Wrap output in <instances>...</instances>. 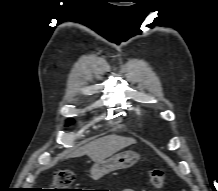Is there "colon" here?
<instances>
[{"instance_id": "obj_1", "label": "colon", "mask_w": 218, "mask_h": 191, "mask_svg": "<svg viewBox=\"0 0 218 191\" xmlns=\"http://www.w3.org/2000/svg\"><path fill=\"white\" fill-rule=\"evenodd\" d=\"M148 181L155 187L160 188L165 183V172L162 169H153L148 172ZM74 173L72 170L64 169L55 172L53 181L55 189L54 191H75L69 189V186L73 183Z\"/></svg>"}]
</instances>
